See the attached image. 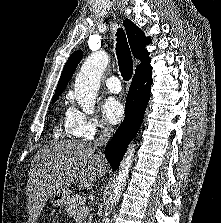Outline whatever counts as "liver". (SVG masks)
Returning a JSON list of instances; mask_svg holds the SVG:
<instances>
[{
    "mask_svg": "<svg viewBox=\"0 0 221 223\" xmlns=\"http://www.w3.org/2000/svg\"><path fill=\"white\" fill-rule=\"evenodd\" d=\"M105 172L104 159L90 143L56 140L44 146L34 156L28 175V223H36L54 193L77 182L88 188Z\"/></svg>",
    "mask_w": 221,
    "mask_h": 223,
    "instance_id": "liver-1",
    "label": "liver"
}]
</instances>
